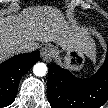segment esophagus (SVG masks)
<instances>
[{
	"mask_svg": "<svg viewBox=\"0 0 108 108\" xmlns=\"http://www.w3.org/2000/svg\"><path fill=\"white\" fill-rule=\"evenodd\" d=\"M56 54V50L52 46H45L41 50L42 59L46 62H49L53 59Z\"/></svg>",
	"mask_w": 108,
	"mask_h": 108,
	"instance_id": "obj_1",
	"label": "esophagus"
}]
</instances>
